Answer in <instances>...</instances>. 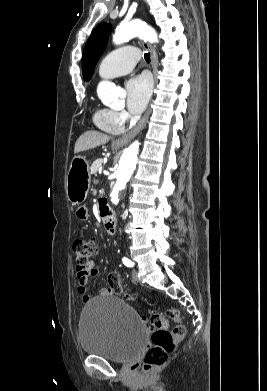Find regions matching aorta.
Returning <instances> with one entry per match:
<instances>
[{
  "label": "aorta",
  "instance_id": "aorta-1",
  "mask_svg": "<svg viewBox=\"0 0 267 391\" xmlns=\"http://www.w3.org/2000/svg\"><path fill=\"white\" fill-rule=\"evenodd\" d=\"M134 37L147 40L151 43L158 41L156 31L146 25L142 21H131L128 23H121L113 35V43L120 45L129 41ZM97 94L99 99L108 105H114L122 102L124 93L117 88L114 83L109 81H102L97 87ZM139 152V143L136 141L126 148L120 156L117 169L115 171V184L111 191V202L114 205L119 203L120 197L128 183L132 173L135 170Z\"/></svg>",
  "mask_w": 267,
  "mask_h": 391
}]
</instances>
